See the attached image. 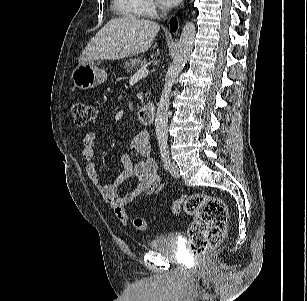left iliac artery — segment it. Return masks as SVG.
Returning <instances> with one entry per match:
<instances>
[{
  "label": "left iliac artery",
  "instance_id": "44dca946",
  "mask_svg": "<svg viewBox=\"0 0 307 301\" xmlns=\"http://www.w3.org/2000/svg\"><path fill=\"white\" fill-rule=\"evenodd\" d=\"M160 153H161V158H162L164 168L169 169V167H170V155H169L168 147L167 146H161L160 147Z\"/></svg>",
  "mask_w": 307,
  "mask_h": 301
}]
</instances>
